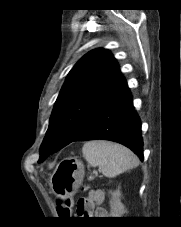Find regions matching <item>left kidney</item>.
I'll use <instances>...</instances> for the list:
<instances>
[{
    "instance_id": "1",
    "label": "left kidney",
    "mask_w": 181,
    "mask_h": 227,
    "mask_svg": "<svg viewBox=\"0 0 181 227\" xmlns=\"http://www.w3.org/2000/svg\"><path fill=\"white\" fill-rule=\"evenodd\" d=\"M112 200L110 201L111 207V217H122L123 214L127 212L125 206L121 202V192L120 190H116L111 192Z\"/></svg>"
}]
</instances>
